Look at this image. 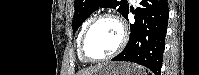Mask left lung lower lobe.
<instances>
[{"label": "left lung lower lobe", "mask_w": 199, "mask_h": 75, "mask_svg": "<svg viewBox=\"0 0 199 75\" xmlns=\"http://www.w3.org/2000/svg\"><path fill=\"white\" fill-rule=\"evenodd\" d=\"M129 9L124 16L128 18ZM167 0H141L135 10V23L125 49L112 60L130 61L161 75L165 35L168 24Z\"/></svg>", "instance_id": "left-lung-lower-lobe-1"}]
</instances>
